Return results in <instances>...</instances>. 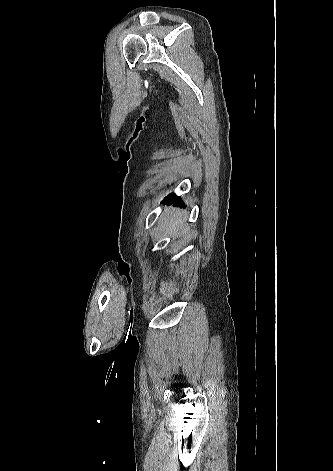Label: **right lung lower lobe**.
Instances as JSON below:
<instances>
[{
	"mask_svg": "<svg viewBox=\"0 0 333 471\" xmlns=\"http://www.w3.org/2000/svg\"><path fill=\"white\" fill-rule=\"evenodd\" d=\"M164 200L168 202H173L174 204H177V205L184 206V204H182V200L180 199V197L176 196V194L174 193L169 194Z\"/></svg>",
	"mask_w": 333,
	"mask_h": 471,
	"instance_id": "obj_1",
	"label": "right lung lower lobe"
}]
</instances>
